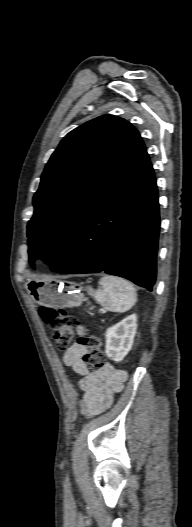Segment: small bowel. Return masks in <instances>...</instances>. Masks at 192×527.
I'll return each instance as SVG.
<instances>
[{
  "mask_svg": "<svg viewBox=\"0 0 192 527\" xmlns=\"http://www.w3.org/2000/svg\"><path fill=\"white\" fill-rule=\"evenodd\" d=\"M78 332L81 334L82 328ZM86 351L84 346L75 343L65 351L63 362L81 376L79 387L84 392L79 403L81 413L96 415L111 406L115 393L121 391L127 375L111 364L90 370L83 361Z\"/></svg>",
  "mask_w": 192,
  "mask_h": 527,
  "instance_id": "c3829d8e",
  "label": "small bowel"
}]
</instances>
